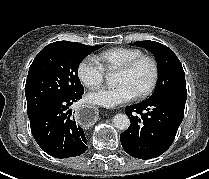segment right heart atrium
<instances>
[{
  "label": "right heart atrium",
  "instance_id": "1",
  "mask_svg": "<svg viewBox=\"0 0 209 179\" xmlns=\"http://www.w3.org/2000/svg\"><path fill=\"white\" fill-rule=\"evenodd\" d=\"M77 75L84 86L94 89L103 83L105 71L96 59L86 57L78 64Z\"/></svg>",
  "mask_w": 209,
  "mask_h": 179
}]
</instances>
